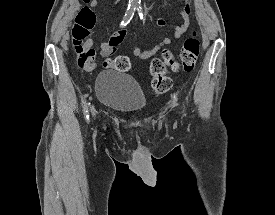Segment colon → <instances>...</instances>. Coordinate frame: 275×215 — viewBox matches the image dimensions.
Masks as SVG:
<instances>
[{"instance_id": "colon-1", "label": "colon", "mask_w": 275, "mask_h": 215, "mask_svg": "<svg viewBox=\"0 0 275 215\" xmlns=\"http://www.w3.org/2000/svg\"><path fill=\"white\" fill-rule=\"evenodd\" d=\"M85 5L79 11L76 23L72 29V48L77 57L79 65L86 66L93 59L95 51L87 46L90 31L95 25V15L89 7L90 0H83ZM200 43L194 37H188L183 42L177 53L165 50L161 58H155L150 65L153 76L151 89L156 94L166 93L172 86V78L168 69L174 71L191 72L199 57ZM105 66L113 67L119 72H127L131 69L130 59L126 56L108 58Z\"/></svg>"}]
</instances>
